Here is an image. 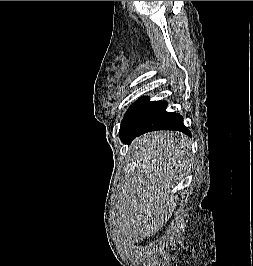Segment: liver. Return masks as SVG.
<instances>
[{
	"label": "liver",
	"mask_w": 253,
	"mask_h": 266,
	"mask_svg": "<svg viewBox=\"0 0 253 266\" xmlns=\"http://www.w3.org/2000/svg\"><path fill=\"white\" fill-rule=\"evenodd\" d=\"M136 173L122 187L118 201L119 230L129 241L157 233L171 217L176 197L171 192L191 157L187 138L172 131H156L131 144Z\"/></svg>",
	"instance_id": "obj_1"
}]
</instances>
